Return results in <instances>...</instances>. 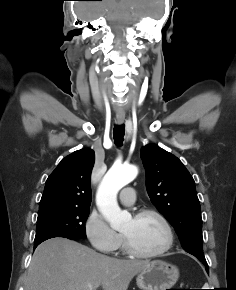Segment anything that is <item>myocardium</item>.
I'll return each instance as SVG.
<instances>
[{"instance_id": "f54148a6", "label": "myocardium", "mask_w": 236, "mask_h": 290, "mask_svg": "<svg viewBox=\"0 0 236 290\" xmlns=\"http://www.w3.org/2000/svg\"><path fill=\"white\" fill-rule=\"evenodd\" d=\"M145 216H154L163 225L166 232V236H167L164 246L155 252H150V253L141 252L137 250L136 248H134L133 245L130 243L129 239L123 234L122 238L124 241V247L128 254L136 258H140V259L158 258L164 255L166 252H168L172 248L173 243H174V232L168 219L158 210L151 209V208L141 209L135 213L134 218L138 219Z\"/></svg>"}]
</instances>
